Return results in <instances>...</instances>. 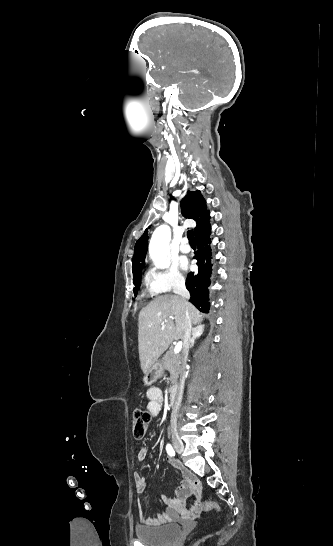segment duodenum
<instances>
[{
	"label": "duodenum",
	"instance_id": "1",
	"mask_svg": "<svg viewBox=\"0 0 333 546\" xmlns=\"http://www.w3.org/2000/svg\"><path fill=\"white\" fill-rule=\"evenodd\" d=\"M177 397H178V391L176 388L173 387L170 391V400L172 404H175L177 402Z\"/></svg>",
	"mask_w": 333,
	"mask_h": 546
}]
</instances>
